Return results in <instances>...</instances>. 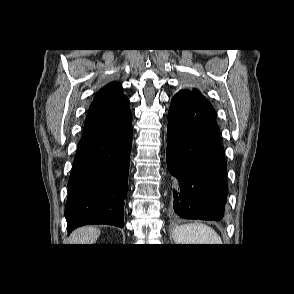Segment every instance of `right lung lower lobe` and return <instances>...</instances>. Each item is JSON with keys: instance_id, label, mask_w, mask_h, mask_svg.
Wrapping results in <instances>:
<instances>
[{"instance_id": "1", "label": "right lung lower lobe", "mask_w": 294, "mask_h": 294, "mask_svg": "<svg viewBox=\"0 0 294 294\" xmlns=\"http://www.w3.org/2000/svg\"><path fill=\"white\" fill-rule=\"evenodd\" d=\"M132 114L129 100L89 109L69 178L68 232L86 224L124 226Z\"/></svg>"}]
</instances>
